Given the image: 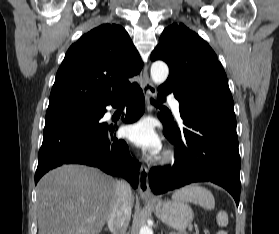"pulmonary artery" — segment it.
I'll return each mask as SVG.
<instances>
[{"instance_id":"e3ab8cb5","label":"pulmonary artery","mask_w":279,"mask_h":234,"mask_svg":"<svg viewBox=\"0 0 279 234\" xmlns=\"http://www.w3.org/2000/svg\"><path fill=\"white\" fill-rule=\"evenodd\" d=\"M169 105L173 113L180 118V103L174 97H169Z\"/></svg>"}]
</instances>
